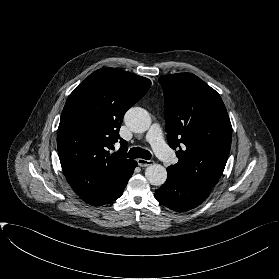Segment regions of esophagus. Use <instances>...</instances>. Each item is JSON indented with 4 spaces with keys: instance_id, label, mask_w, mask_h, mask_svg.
Wrapping results in <instances>:
<instances>
[{
    "instance_id": "34e87169",
    "label": "esophagus",
    "mask_w": 279,
    "mask_h": 279,
    "mask_svg": "<svg viewBox=\"0 0 279 279\" xmlns=\"http://www.w3.org/2000/svg\"><path fill=\"white\" fill-rule=\"evenodd\" d=\"M137 162L140 167H147L154 163L153 160H146V159H142V158L138 159Z\"/></svg>"
}]
</instances>
